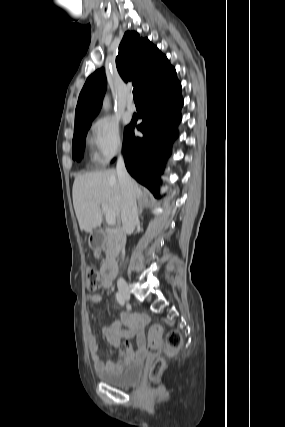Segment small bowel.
Segmentation results:
<instances>
[{"mask_svg":"<svg viewBox=\"0 0 285 427\" xmlns=\"http://www.w3.org/2000/svg\"><path fill=\"white\" fill-rule=\"evenodd\" d=\"M103 267L100 269V280L103 287L108 288L111 281L104 282L103 279ZM87 301L91 304H99L102 300L101 295L96 293H88ZM87 322L89 319L87 318ZM148 322V318L142 313H127L121 312L120 319L112 322L108 327H103L100 331L101 335L105 338L108 344L114 348H119L122 339H129L132 337L137 338V351L136 353H127L117 362H103L100 358L98 344L94 335L88 328V343L91 352L92 361L97 371L107 370H119L131 361H138L147 355L146 341L144 336V327Z\"/></svg>","mask_w":285,"mask_h":427,"instance_id":"1","label":"small bowel"}]
</instances>
